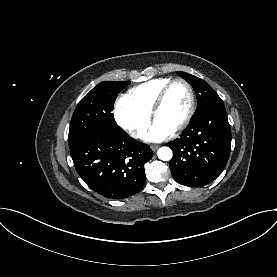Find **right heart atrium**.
I'll use <instances>...</instances> for the list:
<instances>
[{
  "label": "right heart atrium",
  "instance_id": "right-heart-atrium-1",
  "mask_svg": "<svg viewBox=\"0 0 277 277\" xmlns=\"http://www.w3.org/2000/svg\"><path fill=\"white\" fill-rule=\"evenodd\" d=\"M114 118L133 138H139L150 122L149 114L140 111L127 96H121L116 100Z\"/></svg>",
  "mask_w": 277,
  "mask_h": 277
}]
</instances>
